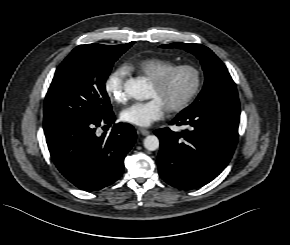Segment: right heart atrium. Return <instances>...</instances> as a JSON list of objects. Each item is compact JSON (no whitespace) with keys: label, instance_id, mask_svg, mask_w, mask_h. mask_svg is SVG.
<instances>
[{"label":"right heart atrium","instance_id":"1","mask_svg":"<svg viewBox=\"0 0 290 245\" xmlns=\"http://www.w3.org/2000/svg\"><path fill=\"white\" fill-rule=\"evenodd\" d=\"M127 69L124 66L115 68L105 82V91L108 97L120 104L127 101L128 95L124 87Z\"/></svg>","mask_w":290,"mask_h":245}]
</instances>
